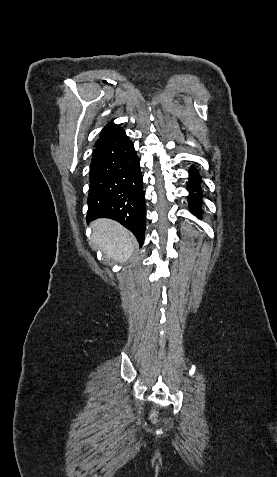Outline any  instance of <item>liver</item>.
Wrapping results in <instances>:
<instances>
[{
    "label": "liver",
    "instance_id": "1",
    "mask_svg": "<svg viewBox=\"0 0 277 477\" xmlns=\"http://www.w3.org/2000/svg\"><path fill=\"white\" fill-rule=\"evenodd\" d=\"M92 244L117 262L127 261L135 247L134 236L114 220L101 218L91 223Z\"/></svg>",
    "mask_w": 277,
    "mask_h": 477
}]
</instances>
